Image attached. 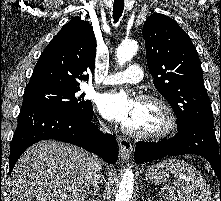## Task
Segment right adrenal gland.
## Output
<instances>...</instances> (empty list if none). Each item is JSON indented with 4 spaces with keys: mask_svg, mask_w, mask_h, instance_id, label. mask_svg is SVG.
I'll return each mask as SVG.
<instances>
[{
    "mask_svg": "<svg viewBox=\"0 0 221 201\" xmlns=\"http://www.w3.org/2000/svg\"><path fill=\"white\" fill-rule=\"evenodd\" d=\"M96 195V190H90L85 196L82 197V199L80 201H85V198H88L89 201H94L91 200L92 197H94Z\"/></svg>",
    "mask_w": 221,
    "mask_h": 201,
    "instance_id": "1",
    "label": "right adrenal gland"
}]
</instances>
